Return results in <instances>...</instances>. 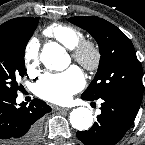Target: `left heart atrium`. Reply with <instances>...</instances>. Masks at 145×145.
<instances>
[{
    "label": "left heart atrium",
    "mask_w": 145,
    "mask_h": 145,
    "mask_svg": "<svg viewBox=\"0 0 145 145\" xmlns=\"http://www.w3.org/2000/svg\"><path fill=\"white\" fill-rule=\"evenodd\" d=\"M85 84L84 76L79 68L72 66L61 73H48L41 77L35 91L41 98L55 102H68L73 94Z\"/></svg>",
    "instance_id": "1"
}]
</instances>
